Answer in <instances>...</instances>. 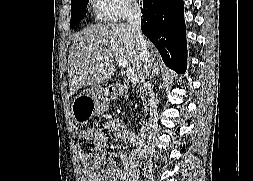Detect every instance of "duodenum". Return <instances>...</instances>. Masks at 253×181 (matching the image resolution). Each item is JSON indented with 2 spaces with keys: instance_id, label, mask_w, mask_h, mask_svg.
<instances>
[{
  "instance_id": "duodenum-1",
  "label": "duodenum",
  "mask_w": 253,
  "mask_h": 181,
  "mask_svg": "<svg viewBox=\"0 0 253 181\" xmlns=\"http://www.w3.org/2000/svg\"><path fill=\"white\" fill-rule=\"evenodd\" d=\"M109 91H110V93H112V94H117L119 90H118V88H116V87H111ZM143 133H144V134L147 133V129H144V130H143Z\"/></svg>"
}]
</instances>
